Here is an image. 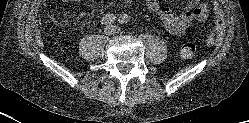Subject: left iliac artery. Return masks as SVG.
<instances>
[{
	"label": "left iliac artery",
	"mask_w": 249,
	"mask_h": 123,
	"mask_svg": "<svg viewBox=\"0 0 249 123\" xmlns=\"http://www.w3.org/2000/svg\"><path fill=\"white\" fill-rule=\"evenodd\" d=\"M130 20V17L127 14H123L119 17V23L126 24Z\"/></svg>",
	"instance_id": "obj_1"
}]
</instances>
